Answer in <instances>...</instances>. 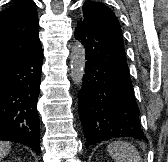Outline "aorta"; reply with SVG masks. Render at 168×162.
<instances>
[{"label": "aorta", "instance_id": "1", "mask_svg": "<svg viewBox=\"0 0 168 162\" xmlns=\"http://www.w3.org/2000/svg\"><path fill=\"white\" fill-rule=\"evenodd\" d=\"M86 53L85 48L80 42H76L71 50L70 67L71 77L77 86H81L85 75Z\"/></svg>", "mask_w": 168, "mask_h": 162}]
</instances>
